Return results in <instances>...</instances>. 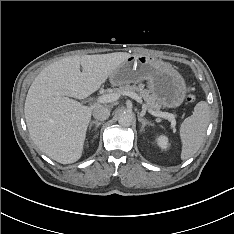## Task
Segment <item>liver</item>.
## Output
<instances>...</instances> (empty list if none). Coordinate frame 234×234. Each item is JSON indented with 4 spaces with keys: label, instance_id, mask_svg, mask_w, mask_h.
<instances>
[{
    "label": "liver",
    "instance_id": "1",
    "mask_svg": "<svg viewBox=\"0 0 234 234\" xmlns=\"http://www.w3.org/2000/svg\"><path fill=\"white\" fill-rule=\"evenodd\" d=\"M127 52L71 56L44 68L31 84L24 106L29 134L51 159L70 164L82 156L94 108L71 99L96 92L129 58ZM82 66V72L80 70Z\"/></svg>",
    "mask_w": 234,
    "mask_h": 234
}]
</instances>
